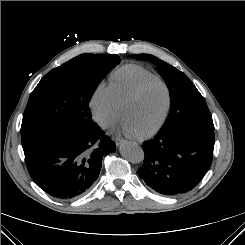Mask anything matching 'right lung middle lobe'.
<instances>
[{
  "mask_svg": "<svg viewBox=\"0 0 245 245\" xmlns=\"http://www.w3.org/2000/svg\"><path fill=\"white\" fill-rule=\"evenodd\" d=\"M120 61L118 55L81 54L47 73L31 93L23 115V150L94 124L91 97Z\"/></svg>",
  "mask_w": 245,
  "mask_h": 245,
  "instance_id": "right-lung-middle-lobe-1",
  "label": "right lung middle lobe"
}]
</instances>
